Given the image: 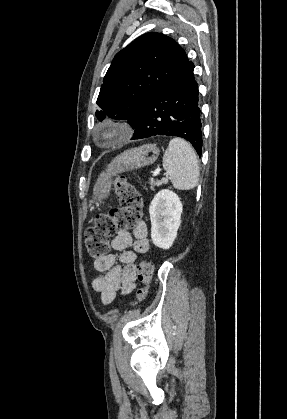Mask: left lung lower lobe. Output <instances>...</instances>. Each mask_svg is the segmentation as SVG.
<instances>
[{
  "label": "left lung lower lobe",
  "instance_id": "left-lung-lower-lobe-1",
  "mask_svg": "<svg viewBox=\"0 0 287 419\" xmlns=\"http://www.w3.org/2000/svg\"><path fill=\"white\" fill-rule=\"evenodd\" d=\"M194 65L152 96L143 108L132 140L156 135L177 136L202 153V124Z\"/></svg>",
  "mask_w": 287,
  "mask_h": 419
}]
</instances>
